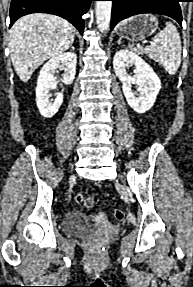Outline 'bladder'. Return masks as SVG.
Wrapping results in <instances>:
<instances>
[{"label": "bladder", "mask_w": 193, "mask_h": 287, "mask_svg": "<svg viewBox=\"0 0 193 287\" xmlns=\"http://www.w3.org/2000/svg\"><path fill=\"white\" fill-rule=\"evenodd\" d=\"M62 228L67 235L84 237L96 233L98 223L96 219L85 213L73 211L65 215Z\"/></svg>", "instance_id": "bladder-1"}]
</instances>
